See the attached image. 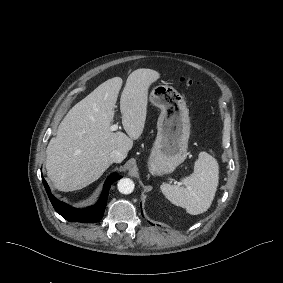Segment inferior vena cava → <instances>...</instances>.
<instances>
[{
  "mask_svg": "<svg viewBox=\"0 0 283 283\" xmlns=\"http://www.w3.org/2000/svg\"><path fill=\"white\" fill-rule=\"evenodd\" d=\"M113 162L121 163L125 158L124 155L119 150H113L110 154Z\"/></svg>",
  "mask_w": 283,
  "mask_h": 283,
  "instance_id": "602c4592",
  "label": "inferior vena cava"
}]
</instances>
